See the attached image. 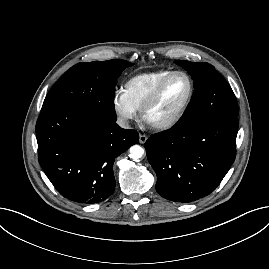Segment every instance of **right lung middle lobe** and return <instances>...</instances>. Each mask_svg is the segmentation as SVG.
Instances as JSON below:
<instances>
[{"label":"right lung middle lobe","instance_id":"obj_1","mask_svg":"<svg viewBox=\"0 0 269 269\" xmlns=\"http://www.w3.org/2000/svg\"><path fill=\"white\" fill-rule=\"evenodd\" d=\"M132 65L133 63L120 59L76 64L50 89L41 113L69 108L115 121V85L121 72Z\"/></svg>","mask_w":269,"mask_h":269}]
</instances>
